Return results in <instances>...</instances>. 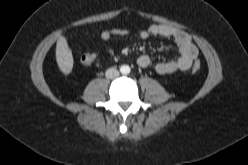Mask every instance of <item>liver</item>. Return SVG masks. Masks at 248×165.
I'll list each match as a JSON object with an SVG mask.
<instances>
[{"mask_svg": "<svg viewBox=\"0 0 248 165\" xmlns=\"http://www.w3.org/2000/svg\"><path fill=\"white\" fill-rule=\"evenodd\" d=\"M56 61L61 72L66 75L71 73L74 61L72 51L69 48L64 36H60L57 40Z\"/></svg>", "mask_w": 248, "mask_h": 165, "instance_id": "liver-1", "label": "liver"}]
</instances>
